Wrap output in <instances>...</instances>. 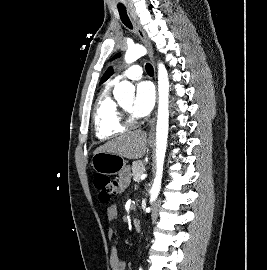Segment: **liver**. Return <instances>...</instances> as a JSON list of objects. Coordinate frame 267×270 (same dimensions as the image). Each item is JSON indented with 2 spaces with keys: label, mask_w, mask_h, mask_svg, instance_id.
<instances>
[{
  "label": "liver",
  "mask_w": 267,
  "mask_h": 270,
  "mask_svg": "<svg viewBox=\"0 0 267 270\" xmlns=\"http://www.w3.org/2000/svg\"><path fill=\"white\" fill-rule=\"evenodd\" d=\"M147 135L140 130L120 134L98 147L94 154L108 152L128 159H139L145 155Z\"/></svg>",
  "instance_id": "liver-1"
}]
</instances>
